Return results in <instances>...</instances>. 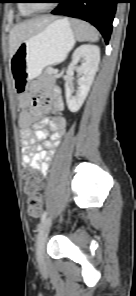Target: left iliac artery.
Instances as JSON below:
<instances>
[{"mask_svg": "<svg viewBox=\"0 0 136 296\" xmlns=\"http://www.w3.org/2000/svg\"><path fill=\"white\" fill-rule=\"evenodd\" d=\"M46 216H47V212L44 211V212L42 213V216H41V223L39 224V227H41L42 223L45 221Z\"/></svg>", "mask_w": 136, "mask_h": 296, "instance_id": "44dca946", "label": "left iliac artery"}]
</instances>
